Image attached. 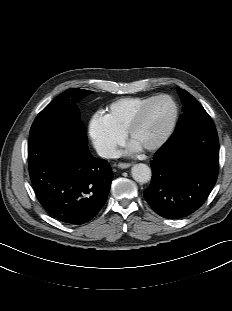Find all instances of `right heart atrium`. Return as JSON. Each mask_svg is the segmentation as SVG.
I'll return each mask as SVG.
<instances>
[{"instance_id": "1", "label": "right heart atrium", "mask_w": 232, "mask_h": 311, "mask_svg": "<svg viewBox=\"0 0 232 311\" xmlns=\"http://www.w3.org/2000/svg\"><path fill=\"white\" fill-rule=\"evenodd\" d=\"M88 135L97 153L105 158L113 157L124 139L123 135L116 132L100 113L91 117Z\"/></svg>"}]
</instances>
